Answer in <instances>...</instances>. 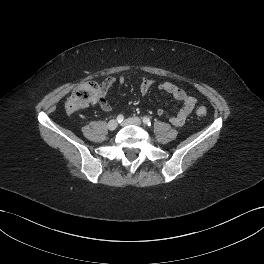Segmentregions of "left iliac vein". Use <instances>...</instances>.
Masks as SVG:
<instances>
[{"label": "left iliac vein", "instance_id": "1", "mask_svg": "<svg viewBox=\"0 0 264 264\" xmlns=\"http://www.w3.org/2000/svg\"><path fill=\"white\" fill-rule=\"evenodd\" d=\"M122 124L123 125H136V126H141L142 125V121L138 117H132V118L126 119Z\"/></svg>", "mask_w": 264, "mask_h": 264}]
</instances>
